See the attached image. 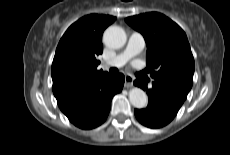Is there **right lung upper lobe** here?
Returning a JSON list of instances; mask_svg holds the SVG:
<instances>
[{
	"label": "right lung upper lobe",
	"mask_w": 230,
	"mask_h": 155,
	"mask_svg": "<svg viewBox=\"0 0 230 155\" xmlns=\"http://www.w3.org/2000/svg\"><path fill=\"white\" fill-rule=\"evenodd\" d=\"M116 17L90 14L72 24L62 36L53 59L51 75L55 97L78 91L105 76L97 70L102 54V34Z\"/></svg>",
	"instance_id": "1"
}]
</instances>
